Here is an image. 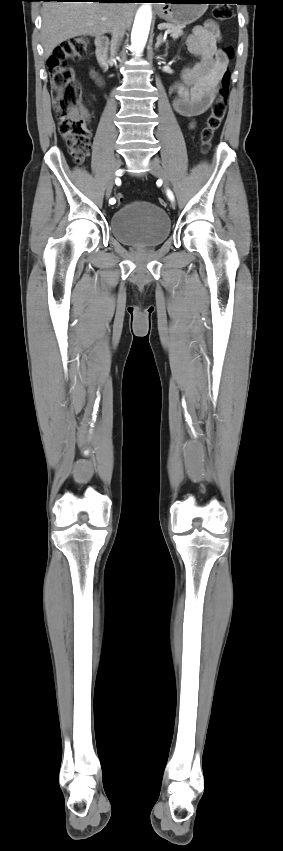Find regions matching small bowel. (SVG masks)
Masks as SVG:
<instances>
[{"mask_svg":"<svg viewBox=\"0 0 283 851\" xmlns=\"http://www.w3.org/2000/svg\"><path fill=\"white\" fill-rule=\"evenodd\" d=\"M222 35L218 26L211 20L194 27L186 43L190 53L198 61L187 67L182 73V81L175 87L173 108L177 114L190 120L189 126L195 127L193 118L206 112L211 106L217 89L226 73L228 59L218 48ZM98 90L108 87L97 69L90 71ZM73 145H69L70 152Z\"/></svg>","mask_w":283,"mask_h":851,"instance_id":"c3829d8e","label":"small bowel"}]
</instances>
